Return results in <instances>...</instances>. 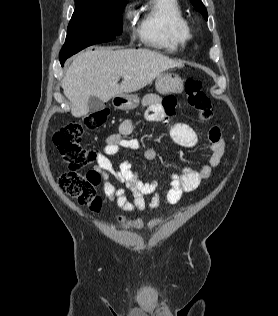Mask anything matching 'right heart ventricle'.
Masks as SVG:
<instances>
[{
	"label": "right heart ventricle",
	"mask_w": 278,
	"mask_h": 316,
	"mask_svg": "<svg viewBox=\"0 0 278 316\" xmlns=\"http://www.w3.org/2000/svg\"><path fill=\"white\" fill-rule=\"evenodd\" d=\"M136 33L145 46L171 53L184 50L192 36L179 0H147L139 10Z\"/></svg>",
	"instance_id": "right-heart-ventricle-1"
}]
</instances>
